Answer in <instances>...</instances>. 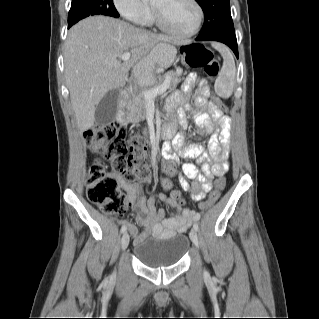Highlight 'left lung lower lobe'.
I'll list each match as a JSON object with an SVG mask.
<instances>
[{"mask_svg":"<svg viewBox=\"0 0 319 319\" xmlns=\"http://www.w3.org/2000/svg\"><path fill=\"white\" fill-rule=\"evenodd\" d=\"M197 40V39H196ZM213 41H218L226 44L229 46L232 51L235 53L236 57L238 58V49H237V40L236 39H217Z\"/></svg>","mask_w":319,"mask_h":319,"instance_id":"0a47b994","label":"left lung lower lobe"}]
</instances>
